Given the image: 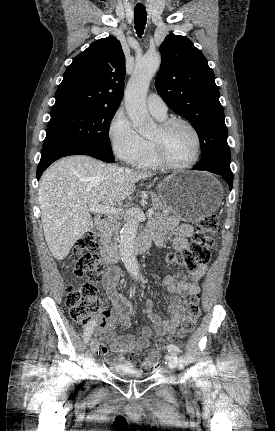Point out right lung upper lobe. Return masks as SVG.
Returning a JSON list of instances; mask_svg holds the SVG:
<instances>
[{
  "instance_id": "right-lung-upper-lobe-1",
  "label": "right lung upper lobe",
  "mask_w": 275,
  "mask_h": 431,
  "mask_svg": "<svg viewBox=\"0 0 275 431\" xmlns=\"http://www.w3.org/2000/svg\"><path fill=\"white\" fill-rule=\"evenodd\" d=\"M125 56L113 36L93 42L67 67L51 113L80 108H117L124 92Z\"/></svg>"
}]
</instances>
